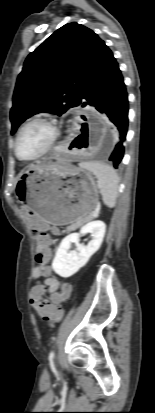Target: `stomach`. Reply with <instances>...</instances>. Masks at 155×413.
<instances>
[{
    "instance_id": "obj_1",
    "label": "stomach",
    "mask_w": 155,
    "mask_h": 413,
    "mask_svg": "<svg viewBox=\"0 0 155 413\" xmlns=\"http://www.w3.org/2000/svg\"><path fill=\"white\" fill-rule=\"evenodd\" d=\"M15 194L35 216L56 226L85 222L99 201L91 172L52 162L27 166L18 176Z\"/></svg>"
}]
</instances>
